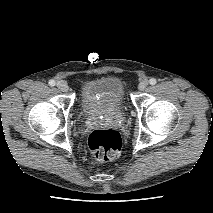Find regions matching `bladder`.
Wrapping results in <instances>:
<instances>
[{"label":"bladder","mask_w":213,"mask_h":213,"mask_svg":"<svg viewBox=\"0 0 213 213\" xmlns=\"http://www.w3.org/2000/svg\"><path fill=\"white\" fill-rule=\"evenodd\" d=\"M125 102V87L117 77H103L86 82L80 92L82 111L87 116L119 111Z\"/></svg>","instance_id":"31cf9c89"}]
</instances>
